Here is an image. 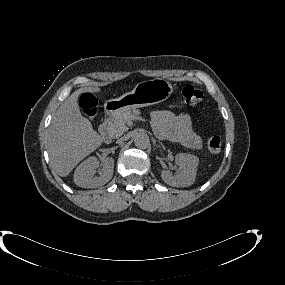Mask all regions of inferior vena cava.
Returning <instances> with one entry per match:
<instances>
[{
	"label": "inferior vena cava",
	"mask_w": 285,
	"mask_h": 285,
	"mask_svg": "<svg viewBox=\"0 0 285 285\" xmlns=\"http://www.w3.org/2000/svg\"><path fill=\"white\" fill-rule=\"evenodd\" d=\"M128 141H129L128 136L125 135V134H122V135L119 136V138H118V140H117V143H118V144L125 145V144L128 143Z\"/></svg>",
	"instance_id": "602c4592"
}]
</instances>
